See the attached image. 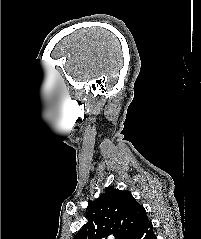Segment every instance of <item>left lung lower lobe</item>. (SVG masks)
<instances>
[{
    "instance_id": "1",
    "label": "left lung lower lobe",
    "mask_w": 201,
    "mask_h": 239,
    "mask_svg": "<svg viewBox=\"0 0 201 239\" xmlns=\"http://www.w3.org/2000/svg\"><path fill=\"white\" fill-rule=\"evenodd\" d=\"M129 239H157L153 232V225L151 221L144 223L138 230H136Z\"/></svg>"
}]
</instances>
